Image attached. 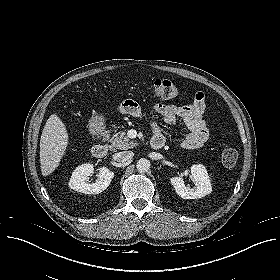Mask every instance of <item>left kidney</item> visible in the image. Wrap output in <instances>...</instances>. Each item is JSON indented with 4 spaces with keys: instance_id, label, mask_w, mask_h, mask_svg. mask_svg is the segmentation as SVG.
Listing matches in <instances>:
<instances>
[{
    "instance_id": "5707ae66",
    "label": "left kidney",
    "mask_w": 280,
    "mask_h": 280,
    "mask_svg": "<svg viewBox=\"0 0 280 280\" xmlns=\"http://www.w3.org/2000/svg\"><path fill=\"white\" fill-rule=\"evenodd\" d=\"M191 176L195 183L194 187H188L184 184L181 177H173L170 179L176 193L183 199L202 198L212 191V186L208 172L202 164L191 166Z\"/></svg>"
}]
</instances>
